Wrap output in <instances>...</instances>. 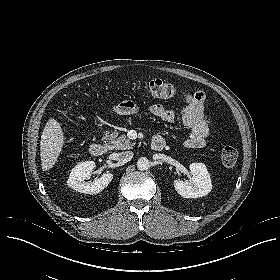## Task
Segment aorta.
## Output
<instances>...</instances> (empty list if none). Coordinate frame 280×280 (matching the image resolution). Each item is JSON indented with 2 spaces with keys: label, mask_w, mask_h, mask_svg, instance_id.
Instances as JSON below:
<instances>
[{
  "label": "aorta",
  "mask_w": 280,
  "mask_h": 280,
  "mask_svg": "<svg viewBox=\"0 0 280 280\" xmlns=\"http://www.w3.org/2000/svg\"><path fill=\"white\" fill-rule=\"evenodd\" d=\"M150 167V161L146 157H140L137 161V168L140 171L147 170Z\"/></svg>",
  "instance_id": "1"
}]
</instances>
